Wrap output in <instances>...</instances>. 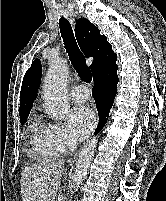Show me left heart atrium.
Wrapping results in <instances>:
<instances>
[{
	"label": "left heart atrium",
	"mask_w": 166,
	"mask_h": 201,
	"mask_svg": "<svg viewBox=\"0 0 166 201\" xmlns=\"http://www.w3.org/2000/svg\"><path fill=\"white\" fill-rule=\"evenodd\" d=\"M95 123V113L88 106H76L69 113V128L75 141H80L85 138Z\"/></svg>",
	"instance_id": "39dd6f15"
}]
</instances>
